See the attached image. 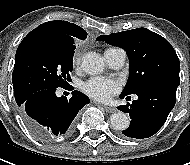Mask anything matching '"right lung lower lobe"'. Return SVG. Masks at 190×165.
<instances>
[{
    "label": "right lung lower lobe",
    "instance_id": "1",
    "mask_svg": "<svg viewBox=\"0 0 190 165\" xmlns=\"http://www.w3.org/2000/svg\"><path fill=\"white\" fill-rule=\"evenodd\" d=\"M56 89L40 90L22 101L20 115L29 130L41 141L51 142L72 133L75 117L89 98L73 91L72 97H57Z\"/></svg>",
    "mask_w": 190,
    "mask_h": 165
}]
</instances>
